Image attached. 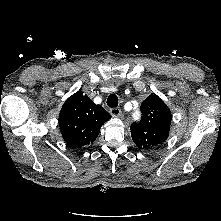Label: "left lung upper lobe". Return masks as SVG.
Listing matches in <instances>:
<instances>
[{
    "label": "left lung upper lobe",
    "instance_id": "5c2ea615",
    "mask_svg": "<svg viewBox=\"0 0 221 221\" xmlns=\"http://www.w3.org/2000/svg\"><path fill=\"white\" fill-rule=\"evenodd\" d=\"M142 118L131 127L133 142L138 148L150 150L169 136L172 115L167 105L156 94L149 95L141 105Z\"/></svg>",
    "mask_w": 221,
    "mask_h": 221
}]
</instances>
